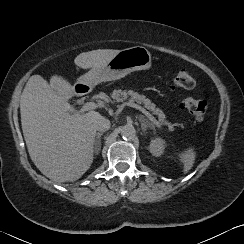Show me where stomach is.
Listing matches in <instances>:
<instances>
[{
    "instance_id": "1",
    "label": "stomach",
    "mask_w": 244,
    "mask_h": 244,
    "mask_svg": "<svg viewBox=\"0 0 244 244\" xmlns=\"http://www.w3.org/2000/svg\"><path fill=\"white\" fill-rule=\"evenodd\" d=\"M152 66L151 53L143 46L119 50L98 68H92L79 79L80 83L93 86L101 82L118 80L133 71L148 70Z\"/></svg>"
}]
</instances>
